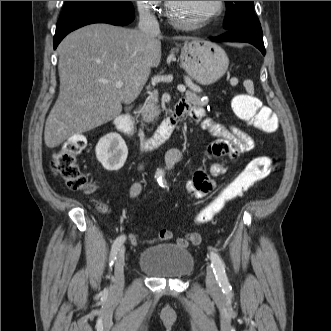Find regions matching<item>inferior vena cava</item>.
Wrapping results in <instances>:
<instances>
[{
  "instance_id": "inferior-vena-cava-1",
  "label": "inferior vena cava",
  "mask_w": 331,
  "mask_h": 331,
  "mask_svg": "<svg viewBox=\"0 0 331 331\" xmlns=\"http://www.w3.org/2000/svg\"><path fill=\"white\" fill-rule=\"evenodd\" d=\"M139 30L153 36L160 34V28L157 19L147 8L140 10Z\"/></svg>"
}]
</instances>
